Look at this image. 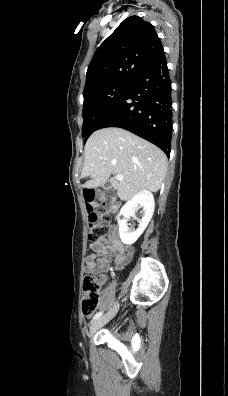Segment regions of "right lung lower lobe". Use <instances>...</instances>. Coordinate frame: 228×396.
I'll return each mask as SVG.
<instances>
[{"label":"right lung lower lobe","mask_w":228,"mask_h":396,"mask_svg":"<svg viewBox=\"0 0 228 396\" xmlns=\"http://www.w3.org/2000/svg\"><path fill=\"white\" fill-rule=\"evenodd\" d=\"M126 129L161 148L170 156L172 136L171 81L163 48L131 82L116 107L98 129Z\"/></svg>","instance_id":"1"}]
</instances>
